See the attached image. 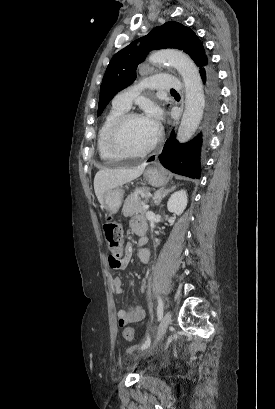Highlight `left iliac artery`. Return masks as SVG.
Wrapping results in <instances>:
<instances>
[{"mask_svg": "<svg viewBox=\"0 0 275 409\" xmlns=\"http://www.w3.org/2000/svg\"><path fill=\"white\" fill-rule=\"evenodd\" d=\"M163 301L160 297H158V306H157V316H158V321L162 319L163 317ZM150 337L147 336L145 342L140 346L141 350H144L150 346Z\"/></svg>", "mask_w": 275, "mask_h": 409, "instance_id": "obj_1", "label": "left iliac artery"}]
</instances>
